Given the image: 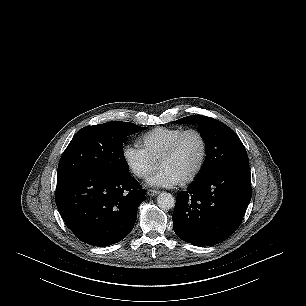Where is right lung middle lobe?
I'll return each instance as SVG.
<instances>
[{
    "label": "right lung middle lobe",
    "instance_id": "obj_1",
    "mask_svg": "<svg viewBox=\"0 0 306 306\" xmlns=\"http://www.w3.org/2000/svg\"><path fill=\"white\" fill-rule=\"evenodd\" d=\"M146 128L121 121L82 128L72 138L60 159L57 181L85 171L128 173L123 143L127 136Z\"/></svg>",
    "mask_w": 306,
    "mask_h": 306
}]
</instances>
